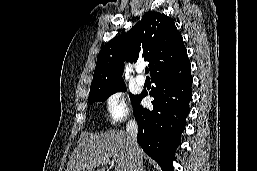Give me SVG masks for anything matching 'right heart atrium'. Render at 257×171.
Returning a JSON list of instances; mask_svg holds the SVG:
<instances>
[{
    "label": "right heart atrium",
    "mask_w": 257,
    "mask_h": 171,
    "mask_svg": "<svg viewBox=\"0 0 257 171\" xmlns=\"http://www.w3.org/2000/svg\"><path fill=\"white\" fill-rule=\"evenodd\" d=\"M104 105L108 121L111 124H117L131 115L127 98L120 91L109 94L105 99Z\"/></svg>",
    "instance_id": "obj_1"
}]
</instances>
